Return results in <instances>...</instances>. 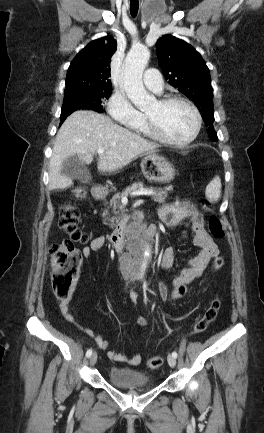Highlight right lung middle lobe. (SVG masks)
<instances>
[{
  "instance_id": "dd1d6c3e",
  "label": "right lung middle lobe",
  "mask_w": 264,
  "mask_h": 433,
  "mask_svg": "<svg viewBox=\"0 0 264 433\" xmlns=\"http://www.w3.org/2000/svg\"><path fill=\"white\" fill-rule=\"evenodd\" d=\"M112 88L97 90L92 92L76 93L64 98L61 111V123L72 112L79 109H91L103 112L102 100L108 99Z\"/></svg>"
}]
</instances>
